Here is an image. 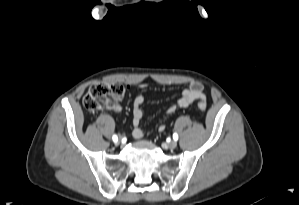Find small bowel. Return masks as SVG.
Segmentation results:
<instances>
[{
	"mask_svg": "<svg viewBox=\"0 0 299 205\" xmlns=\"http://www.w3.org/2000/svg\"><path fill=\"white\" fill-rule=\"evenodd\" d=\"M144 86V85H143ZM196 100H204L205 95L203 93V86L201 83L194 81L189 84V86L184 89L176 101L175 104L171 105L166 114L170 115L176 111L177 108H187ZM145 102L144 95H137L133 100V109H132V123H133V131L132 135L135 139H141L144 136V131L140 127V123L143 119V110L142 105ZM110 109L114 112H120L121 106L119 104H114L110 107ZM165 129V124H161L159 126V131H163Z\"/></svg>",
	"mask_w": 299,
	"mask_h": 205,
	"instance_id": "1",
	"label": "small bowel"
}]
</instances>
